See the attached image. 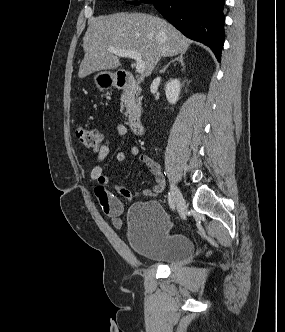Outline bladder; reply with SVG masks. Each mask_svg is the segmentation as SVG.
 <instances>
[{
	"label": "bladder",
	"instance_id": "31cf9c89",
	"mask_svg": "<svg viewBox=\"0 0 285 332\" xmlns=\"http://www.w3.org/2000/svg\"><path fill=\"white\" fill-rule=\"evenodd\" d=\"M127 239L132 251L145 259L182 266L195 256L193 242L173 233L168 215L155 201L138 202L127 214Z\"/></svg>",
	"mask_w": 285,
	"mask_h": 332
}]
</instances>
